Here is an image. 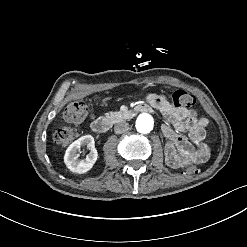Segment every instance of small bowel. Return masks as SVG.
I'll use <instances>...</instances> for the list:
<instances>
[{"mask_svg":"<svg viewBox=\"0 0 247 247\" xmlns=\"http://www.w3.org/2000/svg\"><path fill=\"white\" fill-rule=\"evenodd\" d=\"M147 101L153 107L167 115L171 125L161 128L166 139L165 159L172 168H179L191 163H203L209 157V147L204 143L206 118H198L184 107H174L161 94L152 93ZM185 150H190L186 153ZM181 155L182 158H178Z\"/></svg>","mask_w":247,"mask_h":247,"instance_id":"small-bowel-1","label":"small bowel"}]
</instances>
